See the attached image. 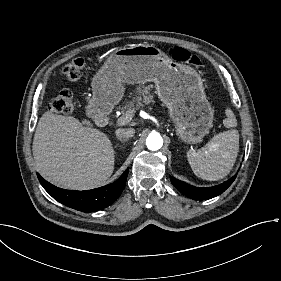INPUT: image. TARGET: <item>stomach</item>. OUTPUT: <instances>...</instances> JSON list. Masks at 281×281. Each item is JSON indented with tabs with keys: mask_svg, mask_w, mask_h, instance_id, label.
Here are the masks:
<instances>
[{
	"mask_svg": "<svg viewBox=\"0 0 281 281\" xmlns=\"http://www.w3.org/2000/svg\"><path fill=\"white\" fill-rule=\"evenodd\" d=\"M155 81L157 94L178 125L179 136L200 142L212 125L213 110L199 74L176 64L153 46L136 45L114 51L93 79V97L87 115L98 119L109 114L123 95V84Z\"/></svg>",
	"mask_w": 281,
	"mask_h": 281,
	"instance_id": "1",
	"label": "stomach"
}]
</instances>
